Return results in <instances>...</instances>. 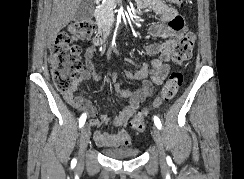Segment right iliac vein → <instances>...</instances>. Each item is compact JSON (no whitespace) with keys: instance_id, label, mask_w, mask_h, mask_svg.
<instances>
[{"instance_id":"63e3f726","label":"right iliac vein","mask_w":244,"mask_h":179,"mask_svg":"<svg viewBox=\"0 0 244 179\" xmlns=\"http://www.w3.org/2000/svg\"><path fill=\"white\" fill-rule=\"evenodd\" d=\"M90 140V128L89 125L86 124L83 126L81 132H80V152H79V161L80 163H83L84 158H85V151L87 148V144Z\"/></svg>"}]
</instances>
